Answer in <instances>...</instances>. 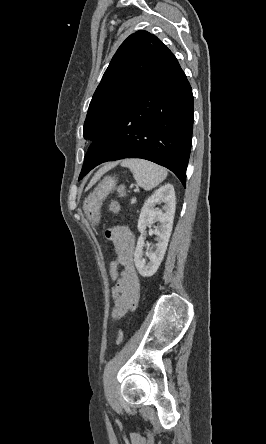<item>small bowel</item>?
Listing matches in <instances>:
<instances>
[{"instance_id":"1","label":"small bowel","mask_w":266,"mask_h":444,"mask_svg":"<svg viewBox=\"0 0 266 444\" xmlns=\"http://www.w3.org/2000/svg\"><path fill=\"white\" fill-rule=\"evenodd\" d=\"M106 237L114 245L116 259L123 267L112 289V316L117 320L136 307L140 296V280L134 265L135 239L125 227H115L107 231Z\"/></svg>"}]
</instances>
